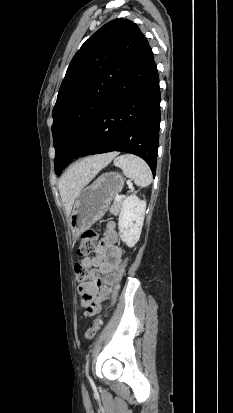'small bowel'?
<instances>
[{
  "label": "small bowel",
  "instance_id": "1",
  "mask_svg": "<svg viewBox=\"0 0 233 413\" xmlns=\"http://www.w3.org/2000/svg\"><path fill=\"white\" fill-rule=\"evenodd\" d=\"M118 234L113 221L106 224L104 237L99 244L97 254L91 259H85L84 264L93 267L88 281L79 284L80 305L86 314L94 315L100 304L109 299L115 286L121 267L123 251L117 244ZM91 302L92 308L89 303Z\"/></svg>",
  "mask_w": 233,
  "mask_h": 413
}]
</instances>
